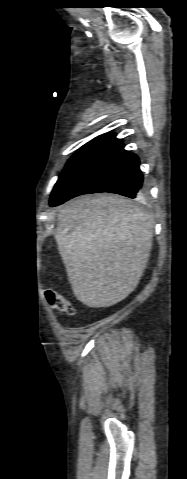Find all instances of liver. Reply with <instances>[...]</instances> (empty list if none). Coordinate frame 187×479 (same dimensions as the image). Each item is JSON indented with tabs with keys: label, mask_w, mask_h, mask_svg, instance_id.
<instances>
[{
	"label": "liver",
	"mask_w": 187,
	"mask_h": 479,
	"mask_svg": "<svg viewBox=\"0 0 187 479\" xmlns=\"http://www.w3.org/2000/svg\"><path fill=\"white\" fill-rule=\"evenodd\" d=\"M55 239L75 297L91 308L109 307L138 285L150 256L153 222L123 197L83 196L59 211Z\"/></svg>",
	"instance_id": "liver-1"
}]
</instances>
